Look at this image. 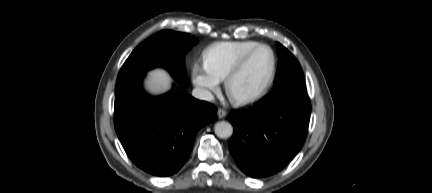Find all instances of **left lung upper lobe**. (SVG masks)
<instances>
[{
	"label": "left lung upper lobe",
	"mask_w": 432,
	"mask_h": 193,
	"mask_svg": "<svg viewBox=\"0 0 432 193\" xmlns=\"http://www.w3.org/2000/svg\"><path fill=\"white\" fill-rule=\"evenodd\" d=\"M279 55L278 71L274 82L273 94L301 93L306 94L303 74L299 62L280 43H276Z\"/></svg>",
	"instance_id": "obj_1"
}]
</instances>
